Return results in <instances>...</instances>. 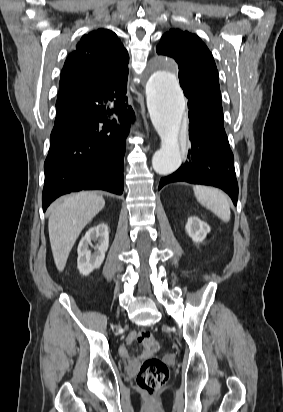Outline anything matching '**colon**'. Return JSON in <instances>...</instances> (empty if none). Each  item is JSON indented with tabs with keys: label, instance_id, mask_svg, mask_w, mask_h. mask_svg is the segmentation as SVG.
<instances>
[{
	"label": "colon",
	"instance_id": "colon-1",
	"mask_svg": "<svg viewBox=\"0 0 283 412\" xmlns=\"http://www.w3.org/2000/svg\"><path fill=\"white\" fill-rule=\"evenodd\" d=\"M137 341L147 350L159 349V342L148 330L141 329L136 334ZM169 377L167 365L157 357L146 359L137 376L139 388L149 397L154 398Z\"/></svg>",
	"mask_w": 283,
	"mask_h": 412
}]
</instances>
